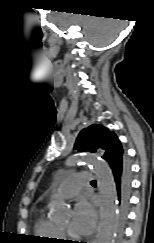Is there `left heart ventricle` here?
Returning a JSON list of instances; mask_svg holds the SVG:
<instances>
[{"mask_svg": "<svg viewBox=\"0 0 154 243\" xmlns=\"http://www.w3.org/2000/svg\"><path fill=\"white\" fill-rule=\"evenodd\" d=\"M59 227L62 228V229H64V230H68V231H70V221L68 220V221H66V222H64V223H62V224H60Z\"/></svg>", "mask_w": 154, "mask_h": 243, "instance_id": "obj_1", "label": "left heart ventricle"}]
</instances>
